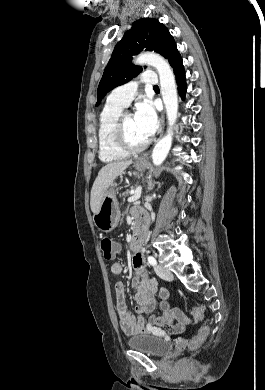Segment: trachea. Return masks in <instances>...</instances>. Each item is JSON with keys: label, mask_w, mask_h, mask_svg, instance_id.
<instances>
[{"label": "trachea", "mask_w": 265, "mask_h": 390, "mask_svg": "<svg viewBox=\"0 0 265 390\" xmlns=\"http://www.w3.org/2000/svg\"><path fill=\"white\" fill-rule=\"evenodd\" d=\"M154 88H158V86H157V85H155V86H154Z\"/></svg>", "instance_id": "1"}]
</instances>
